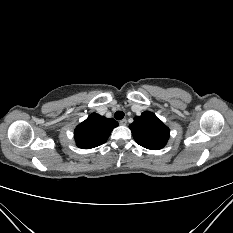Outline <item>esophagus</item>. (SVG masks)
Here are the masks:
<instances>
[{"label":"esophagus","instance_id":"obj_1","mask_svg":"<svg viewBox=\"0 0 233 233\" xmlns=\"http://www.w3.org/2000/svg\"><path fill=\"white\" fill-rule=\"evenodd\" d=\"M119 124L122 125V126H124V125L127 124V120L126 119H122V120H120Z\"/></svg>","mask_w":233,"mask_h":233}]
</instances>
